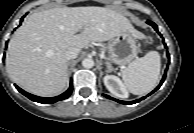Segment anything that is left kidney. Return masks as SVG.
<instances>
[{
	"mask_svg": "<svg viewBox=\"0 0 194 133\" xmlns=\"http://www.w3.org/2000/svg\"><path fill=\"white\" fill-rule=\"evenodd\" d=\"M104 84L106 88L115 96L119 98H127L128 92L122 81L114 75H106L104 77Z\"/></svg>",
	"mask_w": 194,
	"mask_h": 133,
	"instance_id": "1",
	"label": "left kidney"
}]
</instances>
